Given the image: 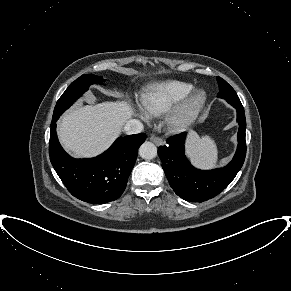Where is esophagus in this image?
Segmentation results:
<instances>
[{"mask_svg": "<svg viewBox=\"0 0 291 291\" xmlns=\"http://www.w3.org/2000/svg\"><path fill=\"white\" fill-rule=\"evenodd\" d=\"M150 140L153 142V143H155L156 145H161L162 143H163V141H162V139L161 138H159V137H157V136H155V135H152L151 137H150Z\"/></svg>", "mask_w": 291, "mask_h": 291, "instance_id": "34e87169", "label": "esophagus"}]
</instances>
